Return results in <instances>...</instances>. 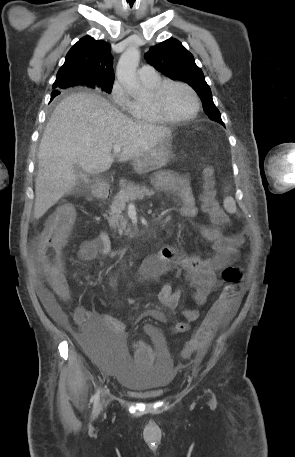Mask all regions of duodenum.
<instances>
[{
	"label": "duodenum",
	"instance_id": "duodenum-1",
	"mask_svg": "<svg viewBox=\"0 0 295 457\" xmlns=\"http://www.w3.org/2000/svg\"><path fill=\"white\" fill-rule=\"evenodd\" d=\"M96 194L100 199L105 200L109 198L110 191L107 188H99Z\"/></svg>",
	"mask_w": 295,
	"mask_h": 457
}]
</instances>
